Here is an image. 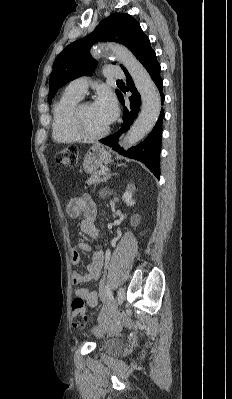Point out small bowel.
Masks as SVG:
<instances>
[{"mask_svg": "<svg viewBox=\"0 0 232 399\" xmlns=\"http://www.w3.org/2000/svg\"><path fill=\"white\" fill-rule=\"evenodd\" d=\"M68 212L72 215H82V220L79 223V229L82 233L86 234L89 242L80 241L78 248L80 250H86L89 248V243H101L102 238L95 233L93 226V218L97 212V205L87 194H84L78 198H73L68 205ZM69 260L71 263L77 264L80 262V254L76 250H70ZM104 256L101 253H94L91 261L88 264V273H74L72 276V283L81 284L86 282L90 278H98L101 275L102 264ZM73 295L75 298L86 301L90 308H96L98 306V300L96 292L94 290H87L82 287H75L73 289Z\"/></svg>", "mask_w": 232, "mask_h": 399, "instance_id": "small-bowel-1", "label": "small bowel"}]
</instances>
